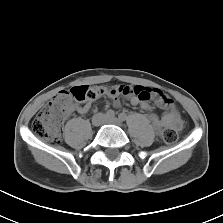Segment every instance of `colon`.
Wrapping results in <instances>:
<instances>
[{
	"mask_svg": "<svg viewBox=\"0 0 223 223\" xmlns=\"http://www.w3.org/2000/svg\"><path fill=\"white\" fill-rule=\"evenodd\" d=\"M130 92L140 101H148L152 91L142 86H135L129 90L126 86H108L92 88L90 86H77L69 91H62L54 96L48 104L34 117L31 129L33 133L51 144L57 145L62 140V123L69 114L73 105L94 100L105 94ZM163 140L173 144L178 139V133L174 128L168 127L162 133Z\"/></svg>",
	"mask_w": 223,
	"mask_h": 223,
	"instance_id": "1",
	"label": "colon"
}]
</instances>
